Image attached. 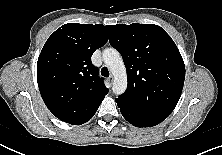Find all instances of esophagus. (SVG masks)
<instances>
[{
    "instance_id": "obj_1",
    "label": "esophagus",
    "mask_w": 222,
    "mask_h": 155,
    "mask_svg": "<svg viewBox=\"0 0 222 155\" xmlns=\"http://www.w3.org/2000/svg\"><path fill=\"white\" fill-rule=\"evenodd\" d=\"M113 80H114V77L111 75V76L108 78V81H109V83H112Z\"/></svg>"
}]
</instances>
